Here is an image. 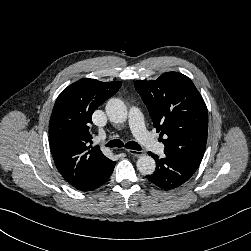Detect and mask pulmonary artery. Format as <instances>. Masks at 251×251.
Returning a JSON list of instances; mask_svg holds the SVG:
<instances>
[{
  "label": "pulmonary artery",
  "mask_w": 251,
  "mask_h": 251,
  "mask_svg": "<svg viewBox=\"0 0 251 251\" xmlns=\"http://www.w3.org/2000/svg\"><path fill=\"white\" fill-rule=\"evenodd\" d=\"M128 123L136 139L148 150L163 155L165 146L158 142L145 128L143 115L139 108L132 107L128 114Z\"/></svg>",
  "instance_id": "e3ab8cb5"
}]
</instances>
